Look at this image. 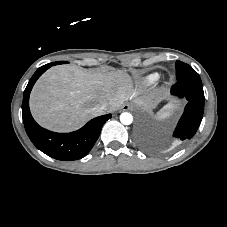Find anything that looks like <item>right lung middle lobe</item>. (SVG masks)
<instances>
[{"label":"right lung middle lobe","instance_id":"right-lung-middle-lobe-1","mask_svg":"<svg viewBox=\"0 0 227 227\" xmlns=\"http://www.w3.org/2000/svg\"><path fill=\"white\" fill-rule=\"evenodd\" d=\"M67 63L66 61H58V62H54L53 65H58V64H65Z\"/></svg>","mask_w":227,"mask_h":227}]
</instances>
